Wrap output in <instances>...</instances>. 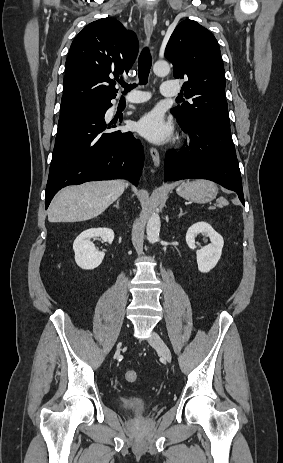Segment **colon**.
Segmentation results:
<instances>
[{
    "label": "colon",
    "instance_id": "obj_1",
    "mask_svg": "<svg viewBox=\"0 0 283 463\" xmlns=\"http://www.w3.org/2000/svg\"><path fill=\"white\" fill-rule=\"evenodd\" d=\"M124 377H125L126 381H128L130 383H135L139 379L138 373L135 370H127V371H125Z\"/></svg>",
    "mask_w": 283,
    "mask_h": 463
}]
</instances>
